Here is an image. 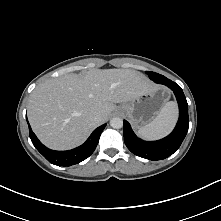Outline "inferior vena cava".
<instances>
[{"instance_id": "1", "label": "inferior vena cava", "mask_w": 221, "mask_h": 221, "mask_svg": "<svg viewBox=\"0 0 221 221\" xmlns=\"http://www.w3.org/2000/svg\"><path fill=\"white\" fill-rule=\"evenodd\" d=\"M94 120H95L96 122H100V121H101V114H100V113L95 114Z\"/></svg>"}]
</instances>
